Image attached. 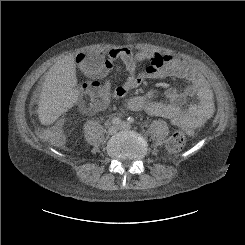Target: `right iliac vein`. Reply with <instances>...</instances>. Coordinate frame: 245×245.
<instances>
[{
    "label": "right iliac vein",
    "mask_w": 245,
    "mask_h": 245,
    "mask_svg": "<svg viewBox=\"0 0 245 245\" xmlns=\"http://www.w3.org/2000/svg\"><path fill=\"white\" fill-rule=\"evenodd\" d=\"M118 128L117 126H111L109 129H108V134L110 135H113L117 132Z\"/></svg>",
    "instance_id": "right-iliac-vein-1"
}]
</instances>
